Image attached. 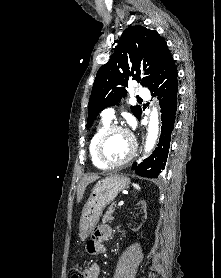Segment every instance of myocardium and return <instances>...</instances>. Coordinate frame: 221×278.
<instances>
[{
	"label": "myocardium",
	"mask_w": 221,
	"mask_h": 278,
	"mask_svg": "<svg viewBox=\"0 0 221 278\" xmlns=\"http://www.w3.org/2000/svg\"><path fill=\"white\" fill-rule=\"evenodd\" d=\"M115 131H122V132L128 134L132 141V148H131L129 155L125 159H123L122 161H119V162L112 163V162L107 161L104 158L103 146H104V143H105L107 137ZM136 152H137V142H136L134 135L127 128H125L121 125H117V124L109 125L100 134V136L97 139L96 146H95L96 157H97L98 161L106 168H119V167H122V166L128 164L135 157Z\"/></svg>",
	"instance_id": "myocardium-1"
}]
</instances>
